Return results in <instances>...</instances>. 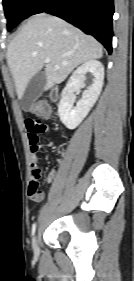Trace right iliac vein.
I'll return each instance as SVG.
<instances>
[{
	"label": "right iliac vein",
	"instance_id": "obj_1",
	"mask_svg": "<svg viewBox=\"0 0 134 281\" xmlns=\"http://www.w3.org/2000/svg\"><path fill=\"white\" fill-rule=\"evenodd\" d=\"M38 244H39V237H38V236H35V237L33 238V243H32V245H33L34 254H35L36 256H38V254H39V247H38Z\"/></svg>",
	"mask_w": 134,
	"mask_h": 281
}]
</instances>
